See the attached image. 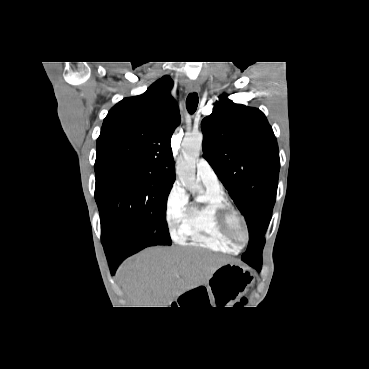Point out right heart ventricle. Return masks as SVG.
<instances>
[{"instance_id": "right-heart-ventricle-1", "label": "right heart ventricle", "mask_w": 369, "mask_h": 369, "mask_svg": "<svg viewBox=\"0 0 369 369\" xmlns=\"http://www.w3.org/2000/svg\"><path fill=\"white\" fill-rule=\"evenodd\" d=\"M222 190L205 186V191L193 203L177 230V239L189 245L225 253H236L239 248L230 242L218 223V214L228 206Z\"/></svg>"}]
</instances>
